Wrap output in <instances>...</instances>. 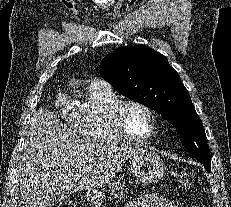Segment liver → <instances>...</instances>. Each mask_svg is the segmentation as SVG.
Masks as SVG:
<instances>
[{
  "label": "liver",
  "mask_w": 231,
  "mask_h": 207,
  "mask_svg": "<svg viewBox=\"0 0 231 207\" xmlns=\"http://www.w3.org/2000/svg\"><path fill=\"white\" fill-rule=\"evenodd\" d=\"M137 147L80 139L53 112H34L18 163L20 207H47L55 192L94 190L109 183Z\"/></svg>",
  "instance_id": "liver-1"
}]
</instances>
